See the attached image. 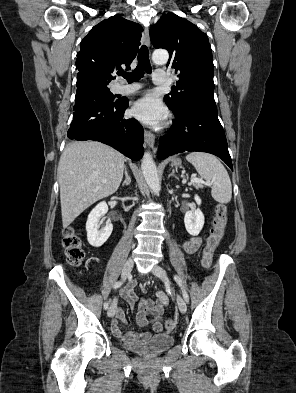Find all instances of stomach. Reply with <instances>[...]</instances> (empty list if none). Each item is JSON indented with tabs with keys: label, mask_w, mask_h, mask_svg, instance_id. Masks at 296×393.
Wrapping results in <instances>:
<instances>
[{
	"label": "stomach",
	"mask_w": 296,
	"mask_h": 393,
	"mask_svg": "<svg viewBox=\"0 0 296 393\" xmlns=\"http://www.w3.org/2000/svg\"><path fill=\"white\" fill-rule=\"evenodd\" d=\"M171 165L173 167H180L181 166V160L179 158H173L171 160Z\"/></svg>",
	"instance_id": "stomach-1"
}]
</instances>
